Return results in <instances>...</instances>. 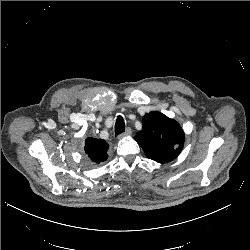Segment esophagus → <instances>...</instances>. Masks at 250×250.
I'll return each mask as SVG.
<instances>
[{
	"label": "esophagus",
	"mask_w": 250,
	"mask_h": 250,
	"mask_svg": "<svg viewBox=\"0 0 250 250\" xmlns=\"http://www.w3.org/2000/svg\"><path fill=\"white\" fill-rule=\"evenodd\" d=\"M131 133H132V129L130 127H128L124 133L119 135V139L123 138V137H126V136H129V135H131Z\"/></svg>",
	"instance_id": "esophagus-1"
}]
</instances>
